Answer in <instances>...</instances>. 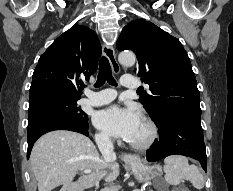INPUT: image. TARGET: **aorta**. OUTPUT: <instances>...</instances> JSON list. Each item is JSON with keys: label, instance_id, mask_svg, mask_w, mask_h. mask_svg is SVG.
Returning <instances> with one entry per match:
<instances>
[{"label": "aorta", "instance_id": "obj_1", "mask_svg": "<svg viewBox=\"0 0 233 191\" xmlns=\"http://www.w3.org/2000/svg\"><path fill=\"white\" fill-rule=\"evenodd\" d=\"M118 61L123 66L131 67L135 64V56L130 51H124L118 55Z\"/></svg>", "mask_w": 233, "mask_h": 191}]
</instances>
